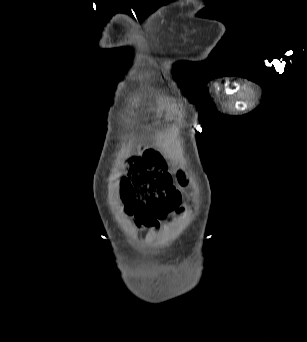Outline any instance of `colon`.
<instances>
[{
	"mask_svg": "<svg viewBox=\"0 0 307 342\" xmlns=\"http://www.w3.org/2000/svg\"><path fill=\"white\" fill-rule=\"evenodd\" d=\"M128 173L129 178L122 186L128 207H148L153 213L166 214L181 205V191L174 185L163 158L155 150H147L142 158L130 165ZM176 180L180 188H188L189 178L183 170H178Z\"/></svg>",
	"mask_w": 307,
	"mask_h": 342,
	"instance_id": "obj_1",
	"label": "colon"
}]
</instances>
